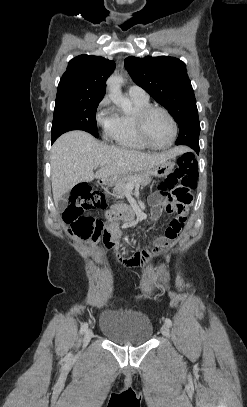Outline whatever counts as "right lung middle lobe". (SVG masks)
<instances>
[{
	"label": "right lung middle lobe",
	"instance_id": "1",
	"mask_svg": "<svg viewBox=\"0 0 247 407\" xmlns=\"http://www.w3.org/2000/svg\"><path fill=\"white\" fill-rule=\"evenodd\" d=\"M102 99H56L52 141L71 130H84L98 137L96 109Z\"/></svg>",
	"mask_w": 247,
	"mask_h": 407
}]
</instances>
